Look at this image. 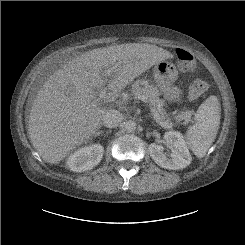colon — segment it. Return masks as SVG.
<instances>
[{
	"label": "colon",
	"mask_w": 245,
	"mask_h": 245,
	"mask_svg": "<svg viewBox=\"0 0 245 245\" xmlns=\"http://www.w3.org/2000/svg\"><path fill=\"white\" fill-rule=\"evenodd\" d=\"M178 65L183 72H192L196 68V60L193 54L183 48L176 50ZM208 90V83L204 80L197 79L193 81L188 87V98L196 99L205 94Z\"/></svg>",
	"instance_id": "colon-1"
}]
</instances>
